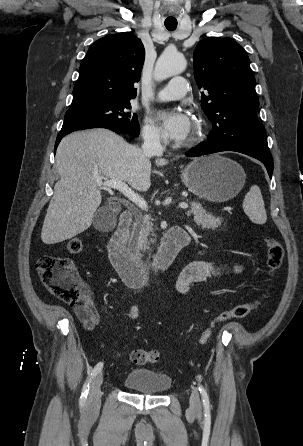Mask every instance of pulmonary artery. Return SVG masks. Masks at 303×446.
<instances>
[{"label": "pulmonary artery", "mask_w": 303, "mask_h": 446, "mask_svg": "<svg viewBox=\"0 0 303 446\" xmlns=\"http://www.w3.org/2000/svg\"><path fill=\"white\" fill-rule=\"evenodd\" d=\"M187 92V81L185 78L173 77L160 91L157 93L159 101H173L182 98Z\"/></svg>", "instance_id": "pulmonary-artery-1"}]
</instances>
